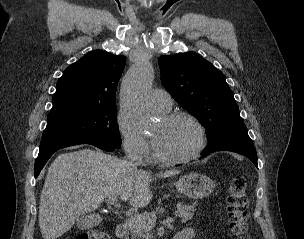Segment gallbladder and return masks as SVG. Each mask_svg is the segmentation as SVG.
Segmentation results:
<instances>
[{"label":"gallbladder","instance_id":"gallbladder-1","mask_svg":"<svg viewBox=\"0 0 304 239\" xmlns=\"http://www.w3.org/2000/svg\"><path fill=\"white\" fill-rule=\"evenodd\" d=\"M93 219H94V215L82 216L76 221V226L77 228L82 230L89 229L95 225Z\"/></svg>","mask_w":304,"mask_h":239}]
</instances>
